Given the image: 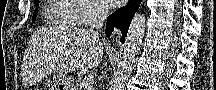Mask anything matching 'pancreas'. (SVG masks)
<instances>
[{
  "label": "pancreas",
  "mask_w": 216,
  "mask_h": 90,
  "mask_svg": "<svg viewBox=\"0 0 216 90\" xmlns=\"http://www.w3.org/2000/svg\"><path fill=\"white\" fill-rule=\"evenodd\" d=\"M79 84H77L76 88H78Z\"/></svg>",
  "instance_id": "pancreas-1"
}]
</instances>
